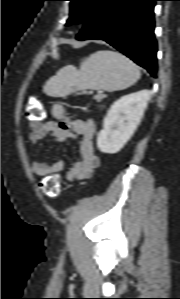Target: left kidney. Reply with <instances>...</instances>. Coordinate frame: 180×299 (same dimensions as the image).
I'll list each match as a JSON object with an SVG mask.
<instances>
[{
    "label": "left kidney",
    "instance_id": "1",
    "mask_svg": "<svg viewBox=\"0 0 180 299\" xmlns=\"http://www.w3.org/2000/svg\"><path fill=\"white\" fill-rule=\"evenodd\" d=\"M149 98V91L142 90L113 103L97 136V146L101 152L114 154L123 148L139 125Z\"/></svg>",
    "mask_w": 180,
    "mask_h": 299
}]
</instances>
